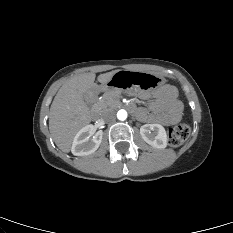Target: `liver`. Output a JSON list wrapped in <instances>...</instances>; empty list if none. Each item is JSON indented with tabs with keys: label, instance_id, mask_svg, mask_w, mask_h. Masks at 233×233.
Masks as SVG:
<instances>
[{
	"label": "liver",
	"instance_id": "6515ba94",
	"mask_svg": "<svg viewBox=\"0 0 233 233\" xmlns=\"http://www.w3.org/2000/svg\"><path fill=\"white\" fill-rule=\"evenodd\" d=\"M119 72L114 70L98 76L106 85ZM95 73H83L67 80L59 89L50 107L49 130L57 147L70 152L76 133L91 121L90 108L84 100L86 93L96 88Z\"/></svg>",
	"mask_w": 233,
	"mask_h": 233
}]
</instances>
